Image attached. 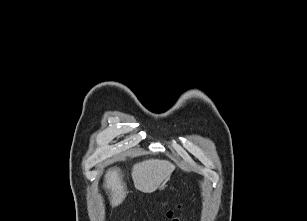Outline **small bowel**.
<instances>
[{"instance_id":"c3829d8e","label":"small bowel","mask_w":307,"mask_h":221,"mask_svg":"<svg viewBox=\"0 0 307 221\" xmlns=\"http://www.w3.org/2000/svg\"><path fill=\"white\" fill-rule=\"evenodd\" d=\"M173 221H180L178 218H173Z\"/></svg>"}]
</instances>
